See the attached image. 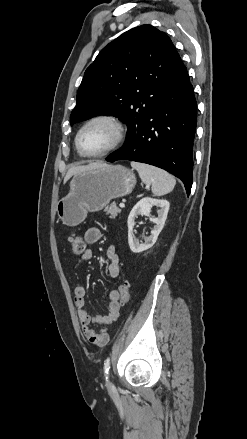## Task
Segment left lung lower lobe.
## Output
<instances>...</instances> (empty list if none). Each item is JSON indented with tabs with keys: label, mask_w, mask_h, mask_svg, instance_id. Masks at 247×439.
Segmentation results:
<instances>
[{
	"label": "left lung lower lobe",
	"mask_w": 247,
	"mask_h": 439,
	"mask_svg": "<svg viewBox=\"0 0 247 439\" xmlns=\"http://www.w3.org/2000/svg\"><path fill=\"white\" fill-rule=\"evenodd\" d=\"M196 101L187 69L156 99L154 109L124 146L106 161L131 160L162 168L192 187Z\"/></svg>",
	"instance_id": "0a47b994"
}]
</instances>
